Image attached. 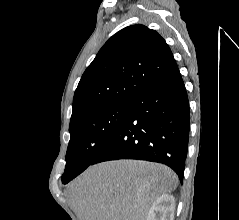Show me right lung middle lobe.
<instances>
[{
  "label": "right lung middle lobe",
  "instance_id": "dd1d6c3e",
  "mask_svg": "<svg viewBox=\"0 0 239 220\" xmlns=\"http://www.w3.org/2000/svg\"><path fill=\"white\" fill-rule=\"evenodd\" d=\"M129 104H118L97 110L70 123V142L62 183L66 184L88 166L124 121Z\"/></svg>",
  "mask_w": 239,
  "mask_h": 220
}]
</instances>
